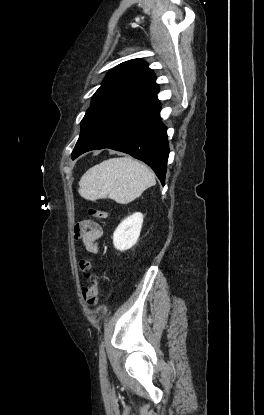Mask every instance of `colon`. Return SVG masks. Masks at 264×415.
Listing matches in <instances>:
<instances>
[{
    "mask_svg": "<svg viewBox=\"0 0 264 415\" xmlns=\"http://www.w3.org/2000/svg\"><path fill=\"white\" fill-rule=\"evenodd\" d=\"M88 214L91 218H104L106 216V212L104 210L97 208H91ZM81 266H85L86 276L92 281L90 286L83 288V299L89 306H94L97 304L99 298V280L96 275H94L92 269L87 266L86 260H81Z\"/></svg>",
    "mask_w": 264,
    "mask_h": 415,
    "instance_id": "5ec220e1",
    "label": "colon"
}]
</instances>
